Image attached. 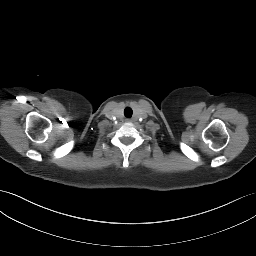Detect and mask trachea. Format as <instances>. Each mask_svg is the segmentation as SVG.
I'll return each mask as SVG.
<instances>
[{
	"label": "trachea",
	"instance_id": "trachea-1",
	"mask_svg": "<svg viewBox=\"0 0 256 256\" xmlns=\"http://www.w3.org/2000/svg\"><path fill=\"white\" fill-rule=\"evenodd\" d=\"M124 114L126 117H131L132 116V109L127 107L125 110H124Z\"/></svg>",
	"mask_w": 256,
	"mask_h": 256
}]
</instances>
